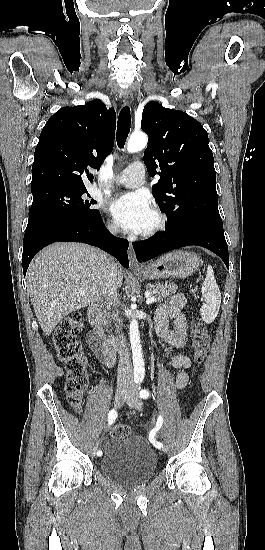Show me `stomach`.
<instances>
[{"instance_id":"1","label":"stomach","mask_w":265,"mask_h":550,"mask_svg":"<svg viewBox=\"0 0 265 550\" xmlns=\"http://www.w3.org/2000/svg\"><path fill=\"white\" fill-rule=\"evenodd\" d=\"M200 265L199 257L189 251H173L162 255L138 274L144 279L186 278Z\"/></svg>"}]
</instances>
